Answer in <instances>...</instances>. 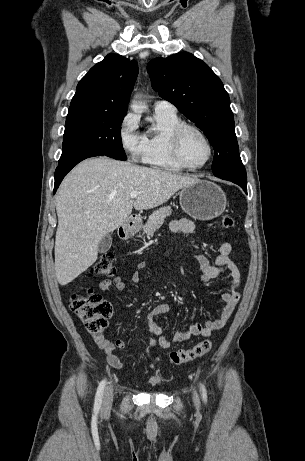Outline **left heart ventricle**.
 Masks as SVG:
<instances>
[{"label": "left heart ventricle", "mask_w": 305, "mask_h": 461, "mask_svg": "<svg viewBox=\"0 0 305 461\" xmlns=\"http://www.w3.org/2000/svg\"><path fill=\"white\" fill-rule=\"evenodd\" d=\"M181 154L189 165L197 166L205 161L208 149L198 134L187 131L181 141Z\"/></svg>", "instance_id": "left-heart-ventricle-1"}]
</instances>
